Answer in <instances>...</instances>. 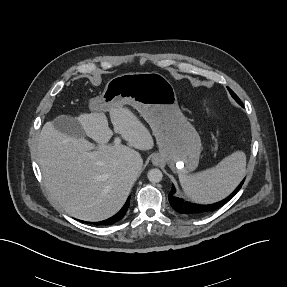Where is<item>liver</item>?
Returning a JSON list of instances; mask_svg holds the SVG:
<instances>
[{
  "instance_id": "liver-1",
  "label": "liver",
  "mask_w": 287,
  "mask_h": 287,
  "mask_svg": "<svg viewBox=\"0 0 287 287\" xmlns=\"http://www.w3.org/2000/svg\"><path fill=\"white\" fill-rule=\"evenodd\" d=\"M114 132L129 146L108 144L112 131L103 112L81 113L77 119L88 137L65 135L47 122L38 140L37 159L51 197L71 216L100 221L117 213L124 205L138 172L131 162L140 157L135 151L154 147L148 129L123 107L108 109Z\"/></svg>"
}]
</instances>
